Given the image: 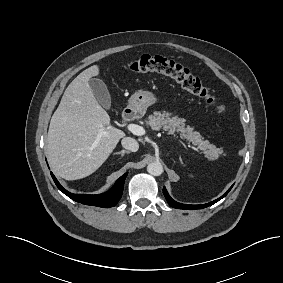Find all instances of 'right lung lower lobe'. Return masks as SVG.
Masks as SVG:
<instances>
[{"mask_svg": "<svg viewBox=\"0 0 283 283\" xmlns=\"http://www.w3.org/2000/svg\"><path fill=\"white\" fill-rule=\"evenodd\" d=\"M127 174L128 173H125L123 176H121L108 192L98 195H86L73 194L68 192L60 185V183L57 181V179L51 172V176L59 190L62 191L65 195H67L69 198L82 204L99 206L103 208L113 207L118 203L123 193L124 181Z\"/></svg>", "mask_w": 283, "mask_h": 283, "instance_id": "right-lung-lower-lobe-1", "label": "right lung lower lobe"}]
</instances>
